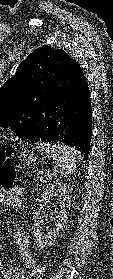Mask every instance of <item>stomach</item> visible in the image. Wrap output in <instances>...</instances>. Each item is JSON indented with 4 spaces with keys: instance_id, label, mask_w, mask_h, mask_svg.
Listing matches in <instances>:
<instances>
[{
    "instance_id": "1",
    "label": "stomach",
    "mask_w": 113,
    "mask_h": 279,
    "mask_svg": "<svg viewBox=\"0 0 113 279\" xmlns=\"http://www.w3.org/2000/svg\"><path fill=\"white\" fill-rule=\"evenodd\" d=\"M19 157L22 159V162L28 166L37 159V157H34L33 152H26V151L21 152Z\"/></svg>"
}]
</instances>
